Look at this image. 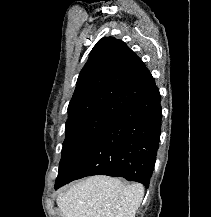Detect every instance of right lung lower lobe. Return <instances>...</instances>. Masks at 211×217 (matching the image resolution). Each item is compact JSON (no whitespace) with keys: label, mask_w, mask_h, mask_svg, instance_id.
<instances>
[{"label":"right lung lower lobe","mask_w":211,"mask_h":217,"mask_svg":"<svg viewBox=\"0 0 211 217\" xmlns=\"http://www.w3.org/2000/svg\"><path fill=\"white\" fill-rule=\"evenodd\" d=\"M161 96L155 86L124 108L55 188L91 175L124 177L147 188L161 134Z\"/></svg>","instance_id":"right-lung-lower-lobe-1"}]
</instances>
